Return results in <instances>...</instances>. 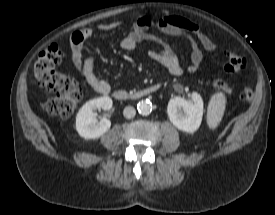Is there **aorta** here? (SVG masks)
Returning a JSON list of instances; mask_svg holds the SVG:
<instances>
[{
    "mask_svg": "<svg viewBox=\"0 0 275 215\" xmlns=\"http://www.w3.org/2000/svg\"><path fill=\"white\" fill-rule=\"evenodd\" d=\"M137 110L142 115H148L152 111V104L150 101H140L137 104Z\"/></svg>",
    "mask_w": 275,
    "mask_h": 215,
    "instance_id": "aorta-1",
    "label": "aorta"
}]
</instances>
